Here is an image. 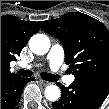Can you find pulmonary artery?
Returning a JSON list of instances; mask_svg holds the SVG:
<instances>
[{
    "label": "pulmonary artery",
    "instance_id": "obj_1",
    "mask_svg": "<svg viewBox=\"0 0 109 109\" xmlns=\"http://www.w3.org/2000/svg\"><path fill=\"white\" fill-rule=\"evenodd\" d=\"M64 59V50L60 45H54L46 56V63L49 65L52 72L55 73L58 80L63 81L66 84H71L74 81V76H65L61 70V65ZM40 65L22 64L21 67L25 69H31L33 67H39Z\"/></svg>",
    "mask_w": 109,
    "mask_h": 109
}]
</instances>
